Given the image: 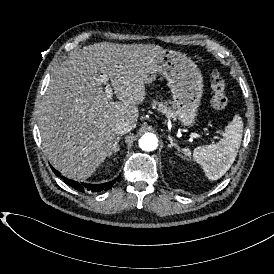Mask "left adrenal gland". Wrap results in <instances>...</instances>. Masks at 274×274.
I'll return each mask as SVG.
<instances>
[{
    "label": "left adrenal gland",
    "mask_w": 274,
    "mask_h": 274,
    "mask_svg": "<svg viewBox=\"0 0 274 274\" xmlns=\"http://www.w3.org/2000/svg\"><path fill=\"white\" fill-rule=\"evenodd\" d=\"M168 139H169V141H170V144H168V147H169V148L175 147V148L177 149V152H178L177 155H178V156H181V155L179 154L180 151H181V150H180V147H179L176 143L173 142V139H172L170 136H168Z\"/></svg>",
    "instance_id": "obj_1"
}]
</instances>
